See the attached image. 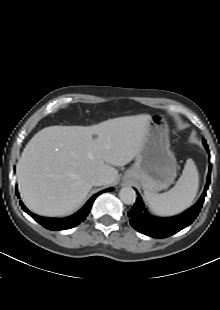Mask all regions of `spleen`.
I'll return each instance as SVG.
<instances>
[{
	"instance_id": "obj_1",
	"label": "spleen",
	"mask_w": 220,
	"mask_h": 310,
	"mask_svg": "<svg viewBox=\"0 0 220 310\" xmlns=\"http://www.w3.org/2000/svg\"><path fill=\"white\" fill-rule=\"evenodd\" d=\"M199 188V174L192 159H188L182 175L169 191L155 194L145 192V199L151 211L159 216L181 213L192 204Z\"/></svg>"
}]
</instances>
